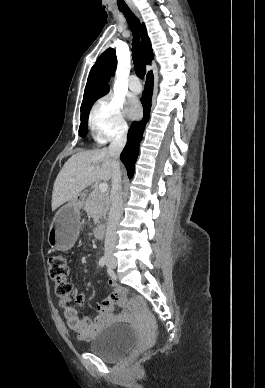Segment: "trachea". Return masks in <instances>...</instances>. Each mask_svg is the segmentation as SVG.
Wrapping results in <instances>:
<instances>
[{"label": "trachea", "instance_id": "trachea-1", "mask_svg": "<svg viewBox=\"0 0 265 388\" xmlns=\"http://www.w3.org/2000/svg\"><path fill=\"white\" fill-rule=\"evenodd\" d=\"M125 16L130 30L133 33V43H132V55L134 61L135 73L139 77H144L146 73V66L144 61L143 49L140 44V35H141V24L139 19L134 15L131 10H120Z\"/></svg>", "mask_w": 265, "mask_h": 388}]
</instances>
